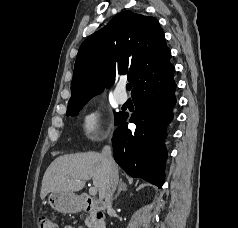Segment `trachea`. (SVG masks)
<instances>
[{
	"label": "trachea",
	"mask_w": 238,
	"mask_h": 228,
	"mask_svg": "<svg viewBox=\"0 0 238 228\" xmlns=\"http://www.w3.org/2000/svg\"><path fill=\"white\" fill-rule=\"evenodd\" d=\"M131 88H132V85H131V84H127V85H126V89H127L128 91H130Z\"/></svg>",
	"instance_id": "1"
}]
</instances>
